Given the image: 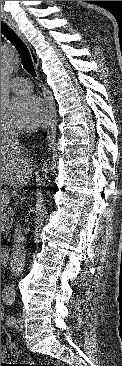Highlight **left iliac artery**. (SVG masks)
<instances>
[{
    "instance_id": "44dca946",
    "label": "left iliac artery",
    "mask_w": 122,
    "mask_h": 366,
    "mask_svg": "<svg viewBox=\"0 0 122 366\" xmlns=\"http://www.w3.org/2000/svg\"><path fill=\"white\" fill-rule=\"evenodd\" d=\"M13 301H14V299H13L12 297L5 298V303H6L7 305H11V304L13 303ZM15 321H16V320H15V317H13V316H11V315L7 316V318H6V323H7L9 326L14 325Z\"/></svg>"
}]
</instances>
